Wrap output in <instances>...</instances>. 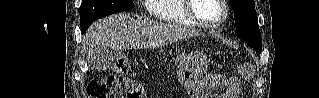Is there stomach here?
<instances>
[{
    "mask_svg": "<svg viewBox=\"0 0 319 98\" xmlns=\"http://www.w3.org/2000/svg\"><path fill=\"white\" fill-rule=\"evenodd\" d=\"M207 69V59L202 52L194 53L190 61L179 72V79L192 98H203V75Z\"/></svg>",
    "mask_w": 319,
    "mask_h": 98,
    "instance_id": "0dacf381",
    "label": "stomach"
}]
</instances>
